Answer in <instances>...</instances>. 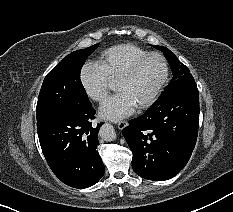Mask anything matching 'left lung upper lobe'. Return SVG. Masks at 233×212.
I'll return each mask as SVG.
<instances>
[{"label": "left lung upper lobe", "mask_w": 233, "mask_h": 212, "mask_svg": "<svg viewBox=\"0 0 233 212\" xmlns=\"http://www.w3.org/2000/svg\"><path fill=\"white\" fill-rule=\"evenodd\" d=\"M162 51L170 63L173 77L165 90L161 93L158 99H165L178 92L193 91L198 92L195 80L190 74L189 69L182 64L175 54L168 48L163 46H154Z\"/></svg>", "instance_id": "5c2ea615"}]
</instances>
